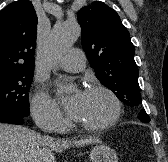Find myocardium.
Returning a JSON list of instances; mask_svg holds the SVG:
<instances>
[{
	"mask_svg": "<svg viewBox=\"0 0 168 162\" xmlns=\"http://www.w3.org/2000/svg\"><path fill=\"white\" fill-rule=\"evenodd\" d=\"M87 91L88 92H102L106 94L112 103V113L105 121L99 124H87V123H83L77 120L78 126H80L81 128L87 131H91V132L104 131L110 128L111 126H113L118 121L121 115L122 105H121V101L118 98V96L115 94L113 90H111L107 86L100 85V84L91 86Z\"/></svg>",
	"mask_w": 168,
	"mask_h": 162,
	"instance_id": "obj_1",
	"label": "myocardium"
}]
</instances>
